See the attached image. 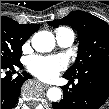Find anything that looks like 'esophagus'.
Listing matches in <instances>:
<instances>
[{
  "label": "esophagus",
  "mask_w": 109,
  "mask_h": 109,
  "mask_svg": "<svg viewBox=\"0 0 109 109\" xmlns=\"http://www.w3.org/2000/svg\"><path fill=\"white\" fill-rule=\"evenodd\" d=\"M43 87H44L45 89H48V88L51 87V85L43 84Z\"/></svg>",
  "instance_id": "obj_1"
}]
</instances>
